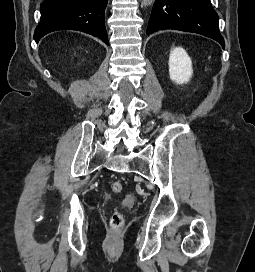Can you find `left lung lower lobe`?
I'll return each instance as SVG.
<instances>
[{"instance_id": "0a47b994", "label": "left lung lower lobe", "mask_w": 255, "mask_h": 272, "mask_svg": "<svg viewBox=\"0 0 255 272\" xmlns=\"http://www.w3.org/2000/svg\"><path fill=\"white\" fill-rule=\"evenodd\" d=\"M165 29L198 33L225 47L210 0H155L147 34Z\"/></svg>"}]
</instances>
